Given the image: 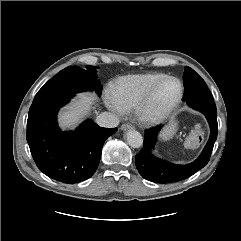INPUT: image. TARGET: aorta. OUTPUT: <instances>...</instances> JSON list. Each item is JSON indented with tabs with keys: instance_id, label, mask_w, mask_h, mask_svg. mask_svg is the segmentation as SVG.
Masks as SVG:
<instances>
[{
	"instance_id": "1",
	"label": "aorta",
	"mask_w": 241,
	"mask_h": 241,
	"mask_svg": "<svg viewBox=\"0 0 241 241\" xmlns=\"http://www.w3.org/2000/svg\"><path fill=\"white\" fill-rule=\"evenodd\" d=\"M126 138L129 146L133 148H140L143 145L142 135L134 129H131L126 133Z\"/></svg>"
}]
</instances>
